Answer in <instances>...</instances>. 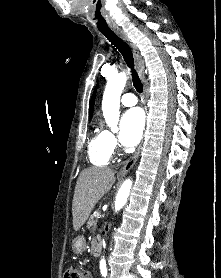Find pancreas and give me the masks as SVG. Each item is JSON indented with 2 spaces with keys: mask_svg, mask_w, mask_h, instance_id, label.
I'll return each mask as SVG.
<instances>
[{
  "mask_svg": "<svg viewBox=\"0 0 221 278\" xmlns=\"http://www.w3.org/2000/svg\"><path fill=\"white\" fill-rule=\"evenodd\" d=\"M99 217L95 214V212L90 216L88 224L90 225V227H95V220L96 218Z\"/></svg>",
  "mask_w": 221,
  "mask_h": 278,
  "instance_id": "pancreas-1",
  "label": "pancreas"
}]
</instances>
